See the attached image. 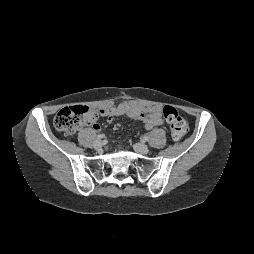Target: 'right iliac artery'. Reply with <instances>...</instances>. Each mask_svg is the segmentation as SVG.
<instances>
[{
	"label": "right iliac artery",
	"instance_id": "right-iliac-artery-1",
	"mask_svg": "<svg viewBox=\"0 0 254 254\" xmlns=\"http://www.w3.org/2000/svg\"><path fill=\"white\" fill-rule=\"evenodd\" d=\"M104 137H105L104 134H99V135L97 136V139H103Z\"/></svg>",
	"mask_w": 254,
	"mask_h": 254
}]
</instances>
